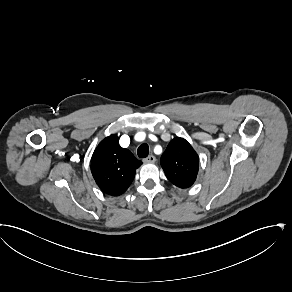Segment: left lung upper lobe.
<instances>
[{
  "label": "left lung upper lobe",
  "instance_id": "obj_1",
  "mask_svg": "<svg viewBox=\"0 0 292 292\" xmlns=\"http://www.w3.org/2000/svg\"><path fill=\"white\" fill-rule=\"evenodd\" d=\"M161 166L172 184L188 188L196 180L199 157L187 140L176 137L161 156Z\"/></svg>",
  "mask_w": 292,
  "mask_h": 292
}]
</instances>
